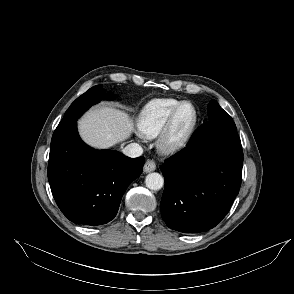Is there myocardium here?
I'll return each instance as SVG.
<instances>
[{
	"instance_id": "1",
	"label": "myocardium",
	"mask_w": 294,
	"mask_h": 294,
	"mask_svg": "<svg viewBox=\"0 0 294 294\" xmlns=\"http://www.w3.org/2000/svg\"><path fill=\"white\" fill-rule=\"evenodd\" d=\"M185 106L193 110V118L190 124L181 132L176 133L178 117ZM198 110L190 101H182L172 112L167 122L158 134L157 146L164 153H174L181 150L189 142L198 123Z\"/></svg>"
}]
</instances>
